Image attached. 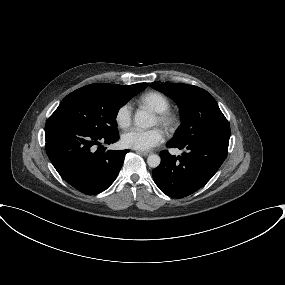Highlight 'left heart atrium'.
I'll use <instances>...</instances> for the list:
<instances>
[{"label": "left heart atrium", "instance_id": "1", "mask_svg": "<svg viewBox=\"0 0 285 285\" xmlns=\"http://www.w3.org/2000/svg\"><path fill=\"white\" fill-rule=\"evenodd\" d=\"M164 141V133L159 128L142 130L133 128L122 135L125 147L138 151H147Z\"/></svg>", "mask_w": 285, "mask_h": 285}]
</instances>
